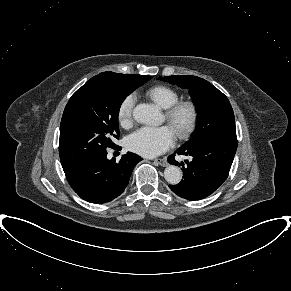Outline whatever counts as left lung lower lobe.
<instances>
[{
  "mask_svg": "<svg viewBox=\"0 0 291 291\" xmlns=\"http://www.w3.org/2000/svg\"><path fill=\"white\" fill-rule=\"evenodd\" d=\"M237 149L234 136H217L196 145H184L175 153L186 155L183 180L169 188L187 200H200L212 194L228 177ZM175 154L168 157L170 164L178 165Z\"/></svg>",
  "mask_w": 291,
  "mask_h": 291,
  "instance_id": "left-lung-lower-lobe-1",
  "label": "left lung lower lobe"
}]
</instances>
